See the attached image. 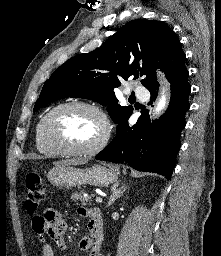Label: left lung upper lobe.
Instances as JSON below:
<instances>
[{
	"instance_id": "left-lung-upper-lobe-1",
	"label": "left lung upper lobe",
	"mask_w": 221,
	"mask_h": 256,
	"mask_svg": "<svg viewBox=\"0 0 221 256\" xmlns=\"http://www.w3.org/2000/svg\"><path fill=\"white\" fill-rule=\"evenodd\" d=\"M181 44L165 23L133 20L122 26L99 49L78 54L62 64L46 81L34 110L67 97L86 98L102 105L117 124L132 114V106H120L114 89L122 80H141L147 89L158 84L156 69L167 79L185 67Z\"/></svg>"
}]
</instances>
